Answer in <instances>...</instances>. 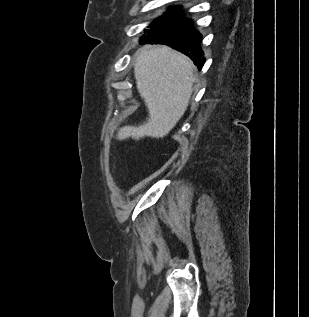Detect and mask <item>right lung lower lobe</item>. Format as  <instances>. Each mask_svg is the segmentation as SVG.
I'll return each mask as SVG.
<instances>
[{
  "label": "right lung lower lobe",
  "instance_id": "1",
  "mask_svg": "<svg viewBox=\"0 0 309 317\" xmlns=\"http://www.w3.org/2000/svg\"><path fill=\"white\" fill-rule=\"evenodd\" d=\"M147 35L140 38V44H165L189 56L199 69L205 59L200 47L201 34L191 28V20L184 17L182 11L170 8L164 17L158 18L150 24Z\"/></svg>",
  "mask_w": 309,
  "mask_h": 317
}]
</instances>
